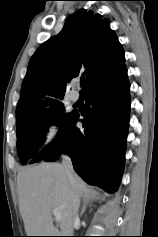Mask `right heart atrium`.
Instances as JSON below:
<instances>
[{
    "label": "right heart atrium",
    "mask_w": 158,
    "mask_h": 237,
    "mask_svg": "<svg viewBox=\"0 0 158 237\" xmlns=\"http://www.w3.org/2000/svg\"><path fill=\"white\" fill-rule=\"evenodd\" d=\"M39 134L42 145L46 148L51 147L60 139L59 122L54 118L46 120L40 128Z\"/></svg>",
    "instance_id": "right-heart-atrium-1"
}]
</instances>
